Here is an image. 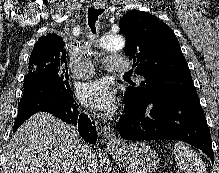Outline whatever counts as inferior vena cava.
I'll return each mask as SVG.
<instances>
[{
    "label": "inferior vena cava",
    "instance_id": "1",
    "mask_svg": "<svg viewBox=\"0 0 219 173\" xmlns=\"http://www.w3.org/2000/svg\"><path fill=\"white\" fill-rule=\"evenodd\" d=\"M91 151H92L91 147H89L88 145H84L82 155H81V159L76 165V171L78 173H88V172L85 171V166H82V163L86 162V158L88 156V153L89 152L91 153Z\"/></svg>",
    "mask_w": 219,
    "mask_h": 173
}]
</instances>
